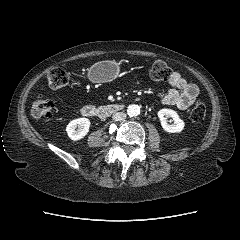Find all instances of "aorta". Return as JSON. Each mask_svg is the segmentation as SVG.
<instances>
[{
    "label": "aorta",
    "mask_w": 240,
    "mask_h": 240,
    "mask_svg": "<svg viewBox=\"0 0 240 240\" xmlns=\"http://www.w3.org/2000/svg\"><path fill=\"white\" fill-rule=\"evenodd\" d=\"M127 114L130 117H134L140 114V107L136 104H131L127 108Z\"/></svg>",
    "instance_id": "762f6f07"
}]
</instances>
